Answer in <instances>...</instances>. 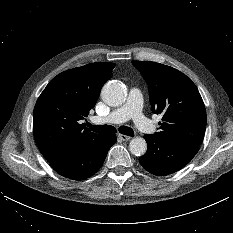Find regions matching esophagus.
Returning <instances> with one entry per match:
<instances>
[{"instance_id": "1", "label": "esophagus", "mask_w": 233, "mask_h": 233, "mask_svg": "<svg viewBox=\"0 0 233 233\" xmlns=\"http://www.w3.org/2000/svg\"><path fill=\"white\" fill-rule=\"evenodd\" d=\"M118 138L122 141H128L131 139L130 136L124 135V134H118Z\"/></svg>"}]
</instances>
